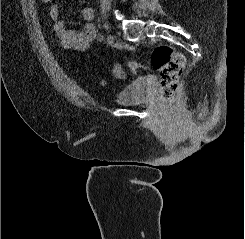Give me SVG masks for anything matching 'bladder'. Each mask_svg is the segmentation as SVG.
Returning a JSON list of instances; mask_svg holds the SVG:
<instances>
[{"label":"bladder","mask_w":245,"mask_h":239,"mask_svg":"<svg viewBox=\"0 0 245 239\" xmlns=\"http://www.w3.org/2000/svg\"><path fill=\"white\" fill-rule=\"evenodd\" d=\"M153 86L154 83L145 77L135 79L119 91L116 102L123 105H136L144 102L151 94Z\"/></svg>","instance_id":"31cf9c89"}]
</instances>
